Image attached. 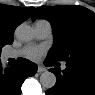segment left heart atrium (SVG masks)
I'll return each instance as SVG.
<instances>
[{"label":"left heart atrium","mask_w":95,"mask_h":95,"mask_svg":"<svg viewBox=\"0 0 95 95\" xmlns=\"http://www.w3.org/2000/svg\"><path fill=\"white\" fill-rule=\"evenodd\" d=\"M43 53L44 48L38 46H28L24 49L25 56L33 61H38Z\"/></svg>","instance_id":"1"}]
</instances>
